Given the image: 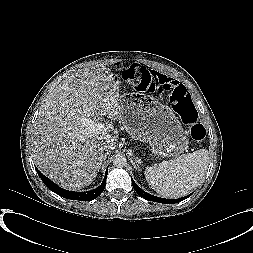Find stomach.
Here are the masks:
<instances>
[{"instance_id": "0dacf381", "label": "stomach", "mask_w": 253, "mask_h": 253, "mask_svg": "<svg viewBox=\"0 0 253 253\" xmlns=\"http://www.w3.org/2000/svg\"><path fill=\"white\" fill-rule=\"evenodd\" d=\"M120 121L136 140L149 143L152 155L177 156L189 144L179 118L153 97L136 93L120 97Z\"/></svg>"}]
</instances>
